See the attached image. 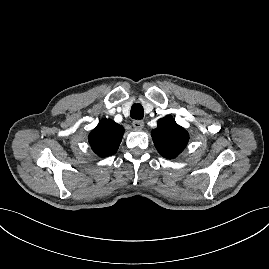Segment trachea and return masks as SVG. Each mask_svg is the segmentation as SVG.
I'll use <instances>...</instances> for the list:
<instances>
[{
    "instance_id": "1",
    "label": "trachea",
    "mask_w": 269,
    "mask_h": 269,
    "mask_svg": "<svg viewBox=\"0 0 269 269\" xmlns=\"http://www.w3.org/2000/svg\"><path fill=\"white\" fill-rule=\"evenodd\" d=\"M130 116L132 119L140 120L144 117V109L141 104H133L131 107Z\"/></svg>"
}]
</instances>
